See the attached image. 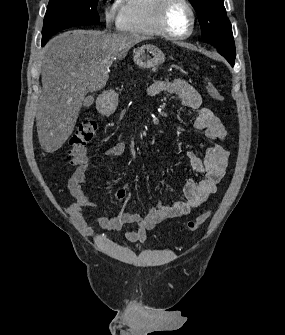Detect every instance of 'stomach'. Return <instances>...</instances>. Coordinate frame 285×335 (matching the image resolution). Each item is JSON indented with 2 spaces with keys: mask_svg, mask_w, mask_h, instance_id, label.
<instances>
[{
  "mask_svg": "<svg viewBox=\"0 0 285 335\" xmlns=\"http://www.w3.org/2000/svg\"><path fill=\"white\" fill-rule=\"evenodd\" d=\"M136 66L139 68H157L165 62V54L156 46H141L134 52L133 58ZM118 104V94L114 90L103 92L97 100V108L99 112H114Z\"/></svg>",
  "mask_w": 285,
  "mask_h": 335,
  "instance_id": "1",
  "label": "stomach"
}]
</instances>
